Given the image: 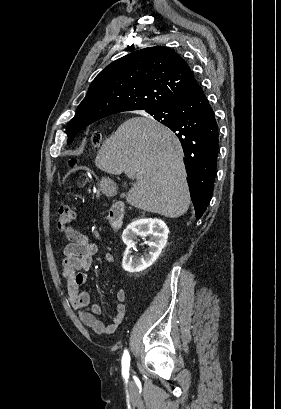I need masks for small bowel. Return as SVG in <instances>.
I'll list each match as a JSON object with an SVG mask.
<instances>
[{"mask_svg": "<svg viewBox=\"0 0 281 409\" xmlns=\"http://www.w3.org/2000/svg\"><path fill=\"white\" fill-rule=\"evenodd\" d=\"M66 236L69 242L63 247L61 256L62 276L66 283L68 300L84 325L97 334L110 335L119 328L125 319L127 293L123 289L117 291L118 304L115 314L111 322L104 325L97 318V315L102 312V305L93 301L88 291L81 289V286L88 282L86 271L91 266L98 247L95 243L90 242L86 235L75 229H68ZM105 262L112 264L114 262L113 255L106 254Z\"/></svg>", "mask_w": 281, "mask_h": 409, "instance_id": "c3829d8e", "label": "small bowel"}]
</instances>
